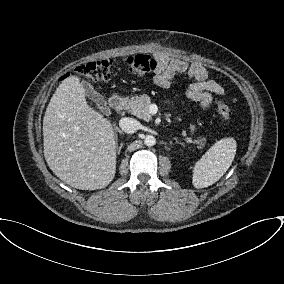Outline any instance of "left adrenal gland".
I'll list each match as a JSON object with an SVG mask.
<instances>
[{"instance_id": "left-adrenal-gland-1", "label": "left adrenal gland", "mask_w": 284, "mask_h": 284, "mask_svg": "<svg viewBox=\"0 0 284 284\" xmlns=\"http://www.w3.org/2000/svg\"><path fill=\"white\" fill-rule=\"evenodd\" d=\"M174 139L176 140V143L182 144V143H180L179 141H177V139H176V138H174Z\"/></svg>"}]
</instances>
